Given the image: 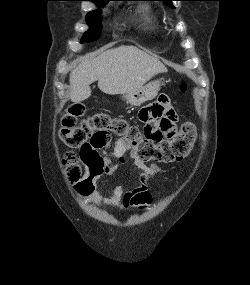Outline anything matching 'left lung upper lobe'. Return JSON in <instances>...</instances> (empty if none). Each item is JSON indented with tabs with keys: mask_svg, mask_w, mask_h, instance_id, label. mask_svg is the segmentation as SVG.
Returning <instances> with one entry per match:
<instances>
[{
	"mask_svg": "<svg viewBox=\"0 0 250 285\" xmlns=\"http://www.w3.org/2000/svg\"><path fill=\"white\" fill-rule=\"evenodd\" d=\"M157 1H164L169 7L174 8V6L172 5V1L175 0H157Z\"/></svg>",
	"mask_w": 250,
	"mask_h": 285,
	"instance_id": "left-lung-upper-lobe-1",
	"label": "left lung upper lobe"
}]
</instances>
